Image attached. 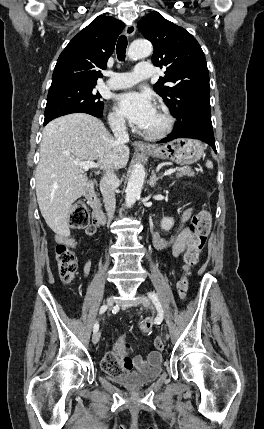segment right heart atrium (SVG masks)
Wrapping results in <instances>:
<instances>
[{
    "label": "right heart atrium",
    "mask_w": 264,
    "mask_h": 429,
    "mask_svg": "<svg viewBox=\"0 0 264 429\" xmlns=\"http://www.w3.org/2000/svg\"><path fill=\"white\" fill-rule=\"evenodd\" d=\"M109 123L111 128L117 131H122L126 128V122L124 118L116 111H112L109 114Z\"/></svg>",
    "instance_id": "obj_1"
}]
</instances>
